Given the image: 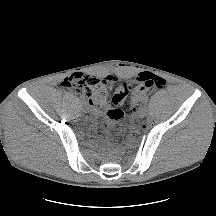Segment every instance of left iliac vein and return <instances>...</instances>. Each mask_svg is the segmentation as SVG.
<instances>
[{"instance_id": "left-iliac-vein-1", "label": "left iliac vein", "mask_w": 216, "mask_h": 216, "mask_svg": "<svg viewBox=\"0 0 216 216\" xmlns=\"http://www.w3.org/2000/svg\"><path fill=\"white\" fill-rule=\"evenodd\" d=\"M146 114H147V107H146V106L140 107V109H139V111H138V116H139L140 118H143V117L146 116Z\"/></svg>"}]
</instances>
